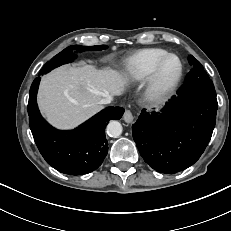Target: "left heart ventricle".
<instances>
[{
	"mask_svg": "<svg viewBox=\"0 0 231 231\" xmlns=\"http://www.w3.org/2000/svg\"><path fill=\"white\" fill-rule=\"evenodd\" d=\"M179 63L176 58H170L162 67L160 73V80L164 83L171 81L177 74Z\"/></svg>",
	"mask_w": 231,
	"mask_h": 231,
	"instance_id": "left-heart-ventricle-1",
	"label": "left heart ventricle"
}]
</instances>
